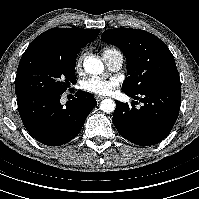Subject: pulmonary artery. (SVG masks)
I'll return each mask as SVG.
<instances>
[{"label":"pulmonary artery","mask_w":199,"mask_h":199,"mask_svg":"<svg viewBox=\"0 0 199 199\" xmlns=\"http://www.w3.org/2000/svg\"><path fill=\"white\" fill-rule=\"evenodd\" d=\"M105 61L112 71H118L123 66L124 57L120 51H114L105 58Z\"/></svg>","instance_id":"pulmonary-artery-1"}]
</instances>
